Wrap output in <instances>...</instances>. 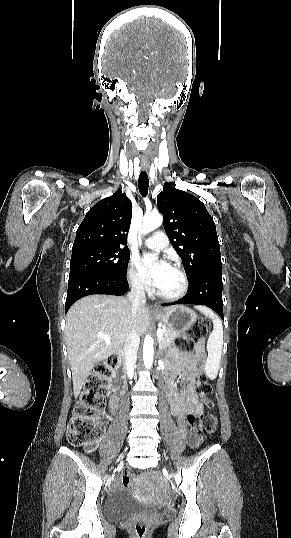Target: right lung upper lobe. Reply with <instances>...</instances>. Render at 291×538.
<instances>
[{"label":"right lung upper lobe","instance_id":"1","mask_svg":"<svg viewBox=\"0 0 291 538\" xmlns=\"http://www.w3.org/2000/svg\"><path fill=\"white\" fill-rule=\"evenodd\" d=\"M131 217V201L119 189L112 196L97 202L87 212L77 229L72 250L87 246L120 247L126 244Z\"/></svg>","mask_w":291,"mask_h":538}]
</instances>
